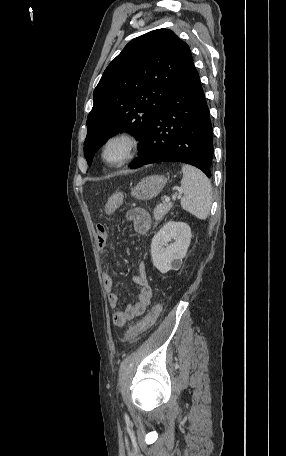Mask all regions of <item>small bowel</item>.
<instances>
[{
    "label": "small bowel",
    "instance_id": "1",
    "mask_svg": "<svg viewBox=\"0 0 286 456\" xmlns=\"http://www.w3.org/2000/svg\"><path fill=\"white\" fill-rule=\"evenodd\" d=\"M117 206H112L107 203L105 210L107 214H111L116 210ZM126 218L133 224L134 230L138 234H145L151 228V218L149 213L141 207H133L127 211ZM96 240L100 252H104L108 245V231L103 224H98L96 227ZM132 282L140 289L138 301L134 304L127 305L124 309L115 311L112 317L115 326H123L131 319L142 315L151 301L152 289L149 284L147 264L142 261L137 267V273L132 277ZM103 284L107 291L108 304L111 308H116L119 303L118 295L113 292L114 281L112 277L104 272Z\"/></svg>",
    "mask_w": 286,
    "mask_h": 456
}]
</instances>
